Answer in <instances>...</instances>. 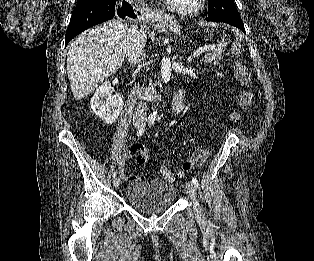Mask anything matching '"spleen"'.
I'll use <instances>...</instances> for the list:
<instances>
[{"label": "spleen", "instance_id": "spleen-1", "mask_svg": "<svg viewBox=\"0 0 314 261\" xmlns=\"http://www.w3.org/2000/svg\"><path fill=\"white\" fill-rule=\"evenodd\" d=\"M233 32L235 33V36L237 39L239 40H242L243 39V35L241 33H239L238 31L236 30H233Z\"/></svg>", "mask_w": 314, "mask_h": 261}]
</instances>
